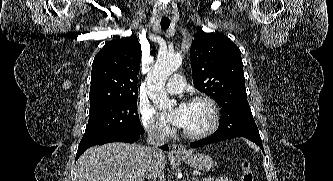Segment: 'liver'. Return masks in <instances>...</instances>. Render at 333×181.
<instances>
[{
    "label": "liver",
    "mask_w": 333,
    "mask_h": 181,
    "mask_svg": "<svg viewBox=\"0 0 333 181\" xmlns=\"http://www.w3.org/2000/svg\"><path fill=\"white\" fill-rule=\"evenodd\" d=\"M149 149L127 143H109L86 150L77 162V181H144ZM162 170L167 159L160 158Z\"/></svg>",
    "instance_id": "obj_1"
}]
</instances>
